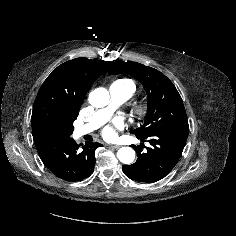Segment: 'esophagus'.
<instances>
[{
	"label": "esophagus",
	"mask_w": 236,
	"mask_h": 236,
	"mask_svg": "<svg viewBox=\"0 0 236 236\" xmlns=\"http://www.w3.org/2000/svg\"><path fill=\"white\" fill-rule=\"evenodd\" d=\"M108 147H110V148H114V149H118V148H120L119 145H115V144H110V145H108Z\"/></svg>",
	"instance_id": "1"
}]
</instances>
